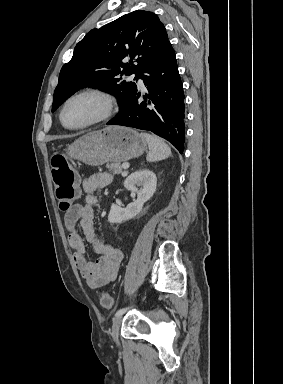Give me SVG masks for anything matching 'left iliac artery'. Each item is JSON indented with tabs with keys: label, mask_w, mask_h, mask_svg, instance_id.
Returning <instances> with one entry per match:
<instances>
[{
	"label": "left iliac artery",
	"mask_w": 283,
	"mask_h": 384,
	"mask_svg": "<svg viewBox=\"0 0 283 384\" xmlns=\"http://www.w3.org/2000/svg\"><path fill=\"white\" fill-rule=\"evenodd\" d=\"M131 307H125V308H122V309H119L116 313H115V317H118L122 314H124L128 309H130Z\"/></svg>",
	"instance_id": "left-iliac-artery-1"
}]
</instances>
